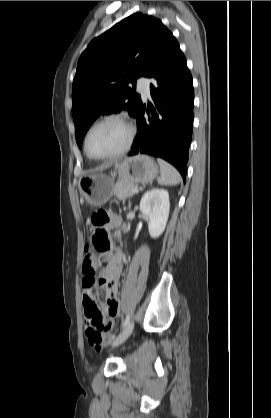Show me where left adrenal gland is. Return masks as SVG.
<instances>
[{"label": "left adrenal gland", "mask_w": 271, "mask_h": 418, "mask_svg": "<svg viewBox=\"0 0 271 418\" xmlns=\"http://www.w3.org/2000/svg\"><path fill=\"white\" fill-rule=\"evenodd\" d=\"M130 207H131V203L129 202V209H130Z\"/></svg>", "instance_id": "obj_1"}]
</instances>
